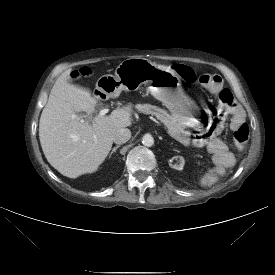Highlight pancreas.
Instances as JSON below:
<instances>
[{
	"mask_svg": "<svg viewBox=\"0 0 275 275\" xmlns=\"http://www.w3.org/2000/svg\"><path fill=\"white\" fill-rule=\"evenodd\" d=\"M136 109L143 114H152L157 117L168 129L169 134L184 145H189V134L164 109L151 104H138Z\"/></svg>",
	"mask_w": 275,
	"mask_h": 275,
	"instance_id": "cf45deb5",
	"label": "pancreas"
}]
</instances>
